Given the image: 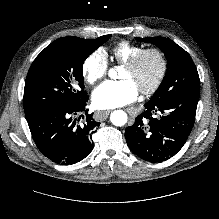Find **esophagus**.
<instances>
[{"mask_svg":"<svg viewBox=\"0 0 219 219\" xmlns=\"http://www.w3.org/2000/svg\"><path fill=\"white\" fill-rule=\"evenodd\" d=\"M110 113H111L110 110L100 111V112L97 113V115H96L95 118H96L97 120L103 121V120H106V119L108 118V116H109Z\"/></svg>","mask_w":219,"mask_h":219,"instance_id":"1","label":"esophagus"}]
</instances>
